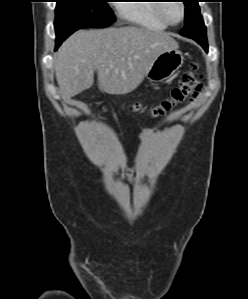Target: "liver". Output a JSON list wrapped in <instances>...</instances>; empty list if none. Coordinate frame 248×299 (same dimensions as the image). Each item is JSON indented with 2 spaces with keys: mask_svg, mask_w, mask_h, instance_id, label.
Here are the masks:
<instances>
[{
  "mask_svg": "<svg viewBox=\"0 0 248 299\" xmlns=\"http://www.w3.org/2000/svg\"><path fill=\"white\" fill-rule=\"evenodd\" d=\"M177 48L178 43L168 33L135 26L77 31L55 57L62 97L69 100L90 88L95 70L102 91L130 93L160 54Z\"/></svg>",
  "mask_w": 248,
  "mask_h": 299,
  "instance_id": "6515ba94",
  "label": "liver"
}]
</instances>
